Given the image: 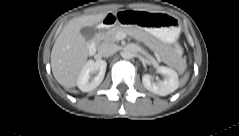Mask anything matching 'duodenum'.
Listing matches in <instances>:
<instances>
[{
	"label": "duodenum",
	"instance_id": "obj_1",
	"mask_svg": "<svg viewBox=\"0 0 239 136\" xmlns=\"http://www.w3.org/2000/svg\"><path fill=\"white\" fill-rule=\"evenodd\" d=\"M115 22H117V17L115 15H109L106 17L103 23L105 25H110V24H114ZM96 47H97V42L94 41L90 43L88 46L89 54H93L96 51Z\"/></svg>",
	"mask_w": 239,
	"mask_h": 136
}]
</instances>
